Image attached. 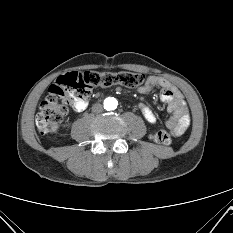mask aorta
Segmentation results:
<instances>
[{"instance_id": "obj_1", "label": "aorta", "mask_w": 233, "mask_h": 233, "mask_svg": "<svg viewBox=\"0 0 233 233\" xmlns=\"http://www.w3.org/2000/svg\"><path fill=\"white\" fill-rule=\"evenodd\" d=\"M117 105H118V102L113 97L112 98L109 97V98L105 99V101H104V107L106 110H109V111L116 109Z\"/></svg>"}]
</instances>
